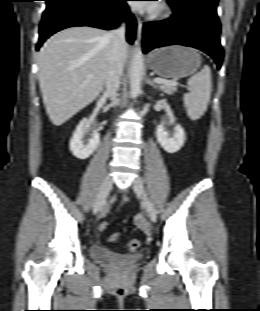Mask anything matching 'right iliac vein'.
<instances>
[{
  "label": "right iliac vein",
  "instance_id": "right-iliac-vein-1",
  "mask_svg": "<svg viewBox=\"0 0 260 311\" xmlns=\"http://www.w3.org/2000/svg\"><path fill=\"white\" fill-rule=\"evenodd\" d=\"M112 187V179L109 174H107L102 182L99 193L93 205V213L96 214L104 205V201L108 196L110 189Z\"/></svg>",
  "mask_w": 260,
  "mask_h": 311
}]
</instances>
